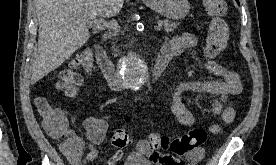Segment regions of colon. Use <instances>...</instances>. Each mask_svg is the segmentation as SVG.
<instances>
[{"instance_id":"obj_1","label":"colon","mask_w":276,"mask_h":165,"mask_svg":"<svg viewBox=\"0 0 276 165\" xmlns=\"http://www.w3.org/2000/svg\"><path fill=\"white\" fill-rule=\"evenodd\" d=\"M202 1L206 14L211 17L205 55L208 58H215L224 51L229 37V25L226 20L227 4L225 0ZM93 62L91 49L86 48L78 52L61 72L58 81L59 90L65 96L73 97L83 82V74L92 68ZM35 105L47 132L53 136H60L66 132L67 119L60 109L52 106L43 96L35 98ZM206 139L207 132L202 128L192 129L178 138L152 133L138 147L148 155L149 159H155L159 149L169 150L177 156H187L200 150ZM111 141L114 147L123 149L131 143L130 133L125 128L117 129L114 131ZM78 147V143L68 136L62 145L63 150L70 154L76 153Z\"/></svg>"}]
</instances>
